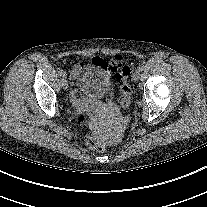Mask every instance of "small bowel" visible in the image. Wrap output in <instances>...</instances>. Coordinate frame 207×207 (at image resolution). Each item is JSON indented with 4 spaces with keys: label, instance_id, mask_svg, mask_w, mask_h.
<instances>
[{
    "label": "small bowel",
    "instance_id": "small-bowel-1",
    "mask_svg": "<svg viewBox=\"0 0 207 207\" xmlns=\"http://www.w3.org/2000/svg\"><path fill=\"white\" fill-rule=\"evenodd\" d=\"M113 96V84L112 82H109V89L108 93L105 96V102H109ZM71 102L75 108L76 111H88L92 114L97 113L100 111L105 103L101 102L99 100H87L82 97H80L76 92H73L71 94Z\"/></svg>",
    "mask_w": 207,
    "mask_h": 207
}]
</instances>
